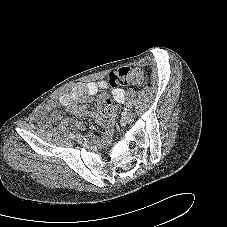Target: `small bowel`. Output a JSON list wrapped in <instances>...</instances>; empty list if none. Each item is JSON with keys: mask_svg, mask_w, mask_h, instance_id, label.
Wrapping results in <instances>:
<instances>
[{"mask_svg": "<svg viewBox=\"0 0 227 227\" xmlns=\"http://www.w3.org/2000/svg\"><path fill=\"white\" fill-rule=\"evenodd\" d=\"M108 87L109 84L106 80L76 84L69 92L60 95L56 102H51L44 107L41 124L47 126L63 121L69 126L83 130L85 127L81 122L62 118L61 114L55 110L56 106H61L77 116L92 118L99 125L109 129L116 116V108L114 106H111L106 113H101L88 108L84 104H79V101L87 102L90 96H94L100 89H107ZM124 93L121 88L113 89L112 95L115 102L121 105L124 104Z\"/></svg>", "mask_w": 227, "mask_h": 227, "instance_id": "1", "label": "small bowel"}]
</instances>
